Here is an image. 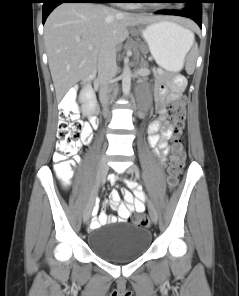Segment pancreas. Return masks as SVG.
Segmentation results:
<instances>
[{
  "instance_id": "1",
  "label": "pancreas",
  "mask_w": 239,
  "mask_h": 296,
  "mask_svg": "<svg viewBox=\"0 0 239 296\" xmlns=\"http://www.w3.org/2000/svg\"><path fill=\"white\" fill-rule=\"evenodd\" d=\"M159 75H162L164 73V71L162 69H157Z\"/></svg>"
}]
</instances>
